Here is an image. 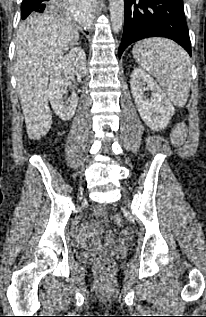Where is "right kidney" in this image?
<instances>
[{"label": "right kidney", "mask_w": 206, "mask_h": 317, "mask_svg": "<svg viewBox=\"0 0 206 317\" xmlns=\"http://www.w3.org/2000/svg\"><path fill=\"white\" fill-rule=\"evenodd\" d=\"M86 73V55L81 47L72 48L53 67L47 94L53 110L64 121L74 116L79 99L77 94L73 93L64 102L69 79L73 74L84 77Z\"/></svg>", "instance_id": "1"}]
</instances>
